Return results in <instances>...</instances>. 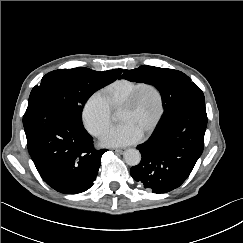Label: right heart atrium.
<instances>
[{
	"mask_svg": "<svg viewBox=\"0 0 243 243\" xmlns=\"http://www.w3.org/2000/svg\"><path fill=\"white\" fill-rule=\"evenodd\" d=\"M82 121L86 130L94 137H102L111 127V110L101 93L92 94L82 108Z\"/></svg>",
	"mask_w": 243,
	"mask_h": 243,
	"instance_id": "d8ad5b80",
	"label": "right heart atrium"
}]
</instances>
